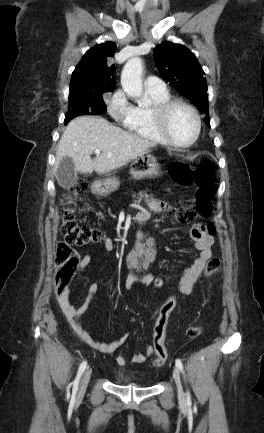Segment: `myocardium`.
<instances>
[{"mask_svg":"<svg viewBox=\"0 0 264 433\" xmlns=\"http://www.w3.org/2000/svg\"><path fill=\"white\" fill-rule=\"evenodd\" d=\"M178 107H183L189 110L195 119L196 130L192 139L187 143L176 142L169 133L168 122L170 114ZM151 113L156 128L166 144L176 148H188L193 146L198 141L202 129L201 117L197 109L186 101L180 99H170L164 103L154 105L151 109Z\"/></svg>","mask_w":264,"mask_h":433,"instance_id":"f54148a6","label":"myocardium"}]
</instances>
